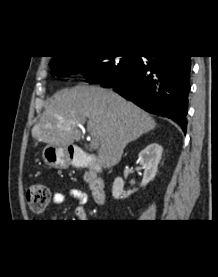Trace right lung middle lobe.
<instances>
[{
  "label": "right lung middle lobe",
  "instance_id": "obj_1",
  "mask_svg": "<svg viewBox=\"0 0 218 277\" xmlns=\"http://www.w3.org/2000/svg\"><path fill=\"white\" fill-rule=\"evenodd\" d=\"M138 58L139 56L56 57L51 60L50 67L53 75L66 76L82 69L91 81L116 82Z\"/></svg>",
  "mask_w": 218,
  "mask_h": 277
}]
</instances>
